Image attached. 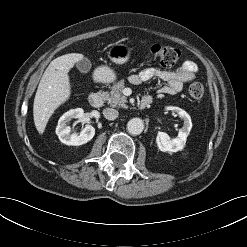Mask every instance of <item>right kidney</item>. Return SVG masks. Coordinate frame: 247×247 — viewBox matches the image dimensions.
Returning <instances> with one entry per match:
<instances>
[{
    "label": "right kidney",
    "instance_id": "obj_1",
    "mask_svg": "<svg viewBox=\"0 0 247 247\" xmlns=\"http://www.w3.org/2000/svg\"><path fill=\"white\" fill-rule=\"evenodd\" d=\"M84 114L83 109H71L64 113L56 127V134L58 135L60 141L66 145L79 146L90 141L95 135V129L92 125L87 124L80 134H70L71 128L67 125L72 119L82 118Z\"/></svg>",
    "mask_w": 247,
    "mask_h": 247
}]
</instances>
